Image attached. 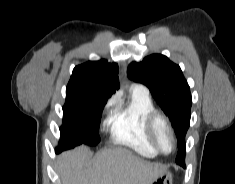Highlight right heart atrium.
Segmentation results:
<instances>
[{
  "mask_svg": "<svg viewBox=\"0 0 235 184\" xmlns=\"http://www.w3.org/2000/svg\"><path fill=\"white\" fill-rule=\"evenodd\" d=\"M118 97L116 95L110 97L106 103L104 104V112L106 113V117L103 119L101 123L100 131L103 132L107 127L110 126L111 123V113L117 107Z\"/></svg>",
  "mask_w": 235,
  "mask_h": 184,
  "instance_id": "1",
  "label": "right heart atrium"
}]
</instances>
